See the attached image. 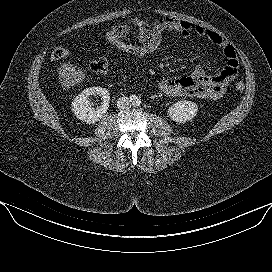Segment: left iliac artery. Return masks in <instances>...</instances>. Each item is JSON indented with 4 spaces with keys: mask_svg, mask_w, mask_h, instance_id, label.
Segmentation results:
<instances>
[{
    "mask_svg": "<svg viewBox=\"0 0 272 272\" xmlns=\"http://www.w3.org/2000/svg\"><path fill=\"white\" fill-rule=\"evenodd\" d=\"M137 104L139 105V104H140V101H137Z\"/></svg>",
    "mask_w": 272,
    "mask_h": 272,
    "instance_id": "obj_1",
    "label": "left iliac artery"
}]
</instances>
